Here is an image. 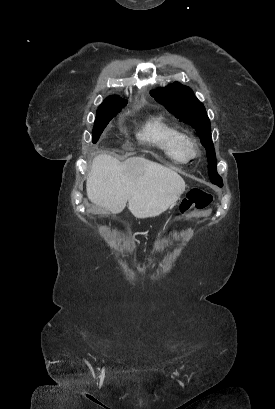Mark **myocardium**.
Masks as SVG:
<instances>
[{
  "label": "myocardium",
  "mask_w": 275,
  "mask_h": 409,
  "mask_svg": "<svg viewBox=\"0 0 275 409\" xmlns=\"http://www.w3.org/2000/svg\"><path fill=\"white\" fill-rule=\"evenodd\" d=\"M179 151L181 157H195L197 154V145L191 138L186 137L182 141Z\"/></svg>",
  "instance_id": "myocardium-1"
}]
</instances>
